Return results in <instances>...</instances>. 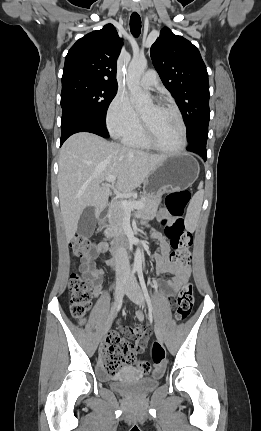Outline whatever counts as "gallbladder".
Masks as SVG:
<instances>
[{
    "instance_id": "obj_1",
    "label": "gallbladder",
    "mask_w": 261,
    "mask_h": 431,
    "mask_svg": "<svg viewBox=\"0 0 261 431\" xmlns=\"http://www.w3.org/2000/svg\"><path fill=\"white\" fill-rule=\"evenodd\" d=\"M96 221L95 209L93 207L86 208L78 222V235L84 238L90 237L95 230Z\"/></svg>"
}]
</instances>
